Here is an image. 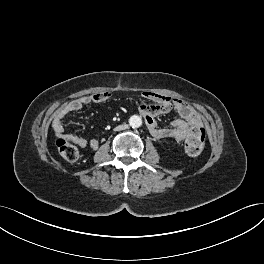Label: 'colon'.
<instances>
[{
    "label": "colon",
    "mask_w": 264,
    "mask_h": 264,
    "mask_svg": "<svg viewBox=\"0 0 264 264\" xmlns=\"http://www.w3.org/2000/svg\"><path fill=\"white\" fill-rule=\"evenodd\" d=\"M205 144V131L203 128L195 129L185 141V150L191 156L199 155ZM60 155L68 162H75L79 159L78 148L63 137H58L56 141Z\"/></svg>",
    "instance_id": "5ec220e1"
}]
</instances>
